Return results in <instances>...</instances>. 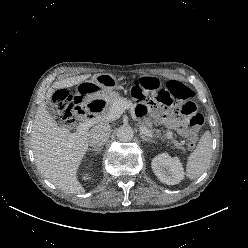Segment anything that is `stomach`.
<instances>
[{
  "label": "stomach",
  "instance_id": "stomach-1",
  "mask_svg": "<svg viewBox=\"0 0 248 248\" xmlns=\"http://www.w3.org/2000/svg\"><path fill=\"white\" fill-rule=\"evenodd\" d=\"M141 81L153 89L160 87V81L156 77L145 76ZM116 82L112 74H98L91 81H85L75 89V100L81 103L84 109L104 115L112 107V101L106 93L115 87Z\"/></svg>",
  "mask_w": 248,
  "mask_h": 248
}]
</instances>
